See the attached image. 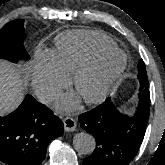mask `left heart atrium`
I'll return each instance as SVG.
<instances>
[{
	"instance_id": "left-heart-atrium-1",
	"label": "left heart atrium",
	"mask_w": 165,
	"mask_h": 165,
	"mask_svg": "<svg viewBox=\"0 0 165 165\" xmlns=\"http://www.w3.org/2000/svg\"><path fill=\"white\" fill-rule=\"evenodd\" d=\"M77 107V100L74 97H64L59 103V108L61 110L70 111Z\"/></svg>"
}]
</instances>
